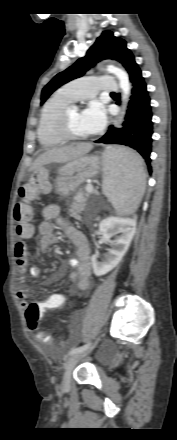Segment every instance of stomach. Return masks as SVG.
<instances>
[{
	"label": "stomach",
	"instance_id": "0dacf381",
	"mask_svg": "<svg viewBox=\"0 0 177 440\" xmlns=\"http://www.w3.org/2000/svg\"><path fill=\"white\" fill-rule=\"evenodd\" d=\"M106 158L111 157V151L108 149L105 152ZM104 168V159L93 155L81 156L77 159L67 162L58 170V175L55 180V191L60 196H68L72 194L85 180L97 175L99 171ZM42 168L34 171V174Z\"/></svg>",
	"mask_w": 177,
	"mask_h": 440
}]
</instances>
